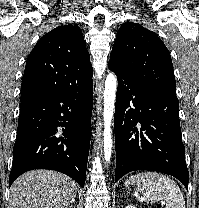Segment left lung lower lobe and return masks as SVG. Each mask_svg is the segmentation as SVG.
I'll return each instance as SVG.
<instances>
[{
	"label": "left lung lower lobe",
	"mask_w": 199,
	"mask_h": 208,
	"mask_svg": "<svg viewBox=\"0 0 199 208\" xmlns=\"http://www.w3.org/2000/svg\"><path fill=\"white\" fill-rule=\"evenodd\" d=\"M109 69L118 78L115 182L131 171L152 170L176 177L188 189L177 97L145 86L112 66Z\"/></svg>",
	"instance_id": "1"
}]
</instances>
